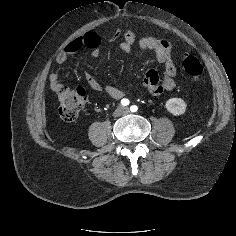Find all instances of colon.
<instances>
[{
  "label": "colon",
  "instance_id": "5ec220e1",
  "mask_svg": "<svg viewBox=\"0 0 236 236\" xmlns=\"http://www.w3.org/2000/svg\"><path fill=\"white\" fill-rule=\"evenodd\" d=\"M184 73L198 79L202 76L204 67L201 61L194 56H187L182 62ZM59 101V115L64 121H73L78 117L85 105V94L78 89L62 86L57 91Z\"/></svg>",
  "mask_w": 236,
  "mask_h": 236
}]
</instances>
